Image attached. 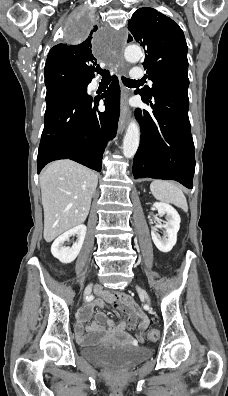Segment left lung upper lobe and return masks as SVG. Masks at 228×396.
Masks as SVG:
<instances>
[{"label":"left lung upper lobe","mask_w":228,"mask_h":396,"mask_svg":"<svg viewBox=\"0 0 228 396\" xmlns=\"http://www.w3.org/2000/svg\"><path fill=\"white\" fill-rule=\"evenodd\" d=\"M129 41L136 40L145 49L143 61L152 88L142 91L152 98L157 87L188 90V47L182 29L172 19L153 8H140L129 20Z\"/></svg>","instance_id":"5c2ea615"}]
</instances>
